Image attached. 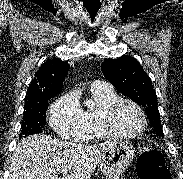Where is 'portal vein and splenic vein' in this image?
<instances>
[{
  "label": "portal vein and splenic vein",
  "instance_id": "18ae733b",
  "mask_svg": "<svg viewBox=\"0 0 183 179\" xmlns=\"http://www.w3.org/2000/svg\"><path fill=\"white\" fill-rule=\"evenodd\" d=\"M68 171H69L68 169H62V170H61V173H62V174H67Z\"/></svg>",
  "mask_w": 183,
  "mask_h": 179
}]
</instances>
